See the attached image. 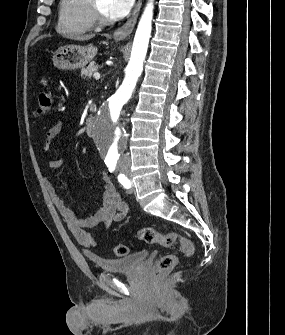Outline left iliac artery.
Wrapping results in <instances>:
<instances>
[{"instance_id": "left-iliac-artery-1", "label": "left iliac artery", "mask_w": 285, "mask_h": 335, "mask_svg": "<svg viewBox=\"0 0 285 335\" xmlns=\"http://www.w3.org/2000/svg\"><path fill=\"white\" fill-rule=\"evenodd\" d=\"M118 180L124 186V188L128 189L131 187L130 181L127 179V177L124 174H119Z\"/></svg>"}]
</instances>
